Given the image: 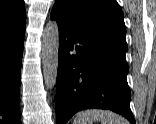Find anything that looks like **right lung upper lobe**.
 Wrapping results in <instances>:
<instances>
[{"label":"right lung upper lobe","instance_id":"obj_1","mask_svg":"<svg viewBox=\"0 0 156 124\" xmlns=\"http://www.w3.org/2000/svg\"><path fill=\"white\" fill-rule=\"evenodd\" d=\"M23 0H0V30L11 31L25 27Z\"/></svg>","mask_w":156,"mask_h":124}]
</instances>
